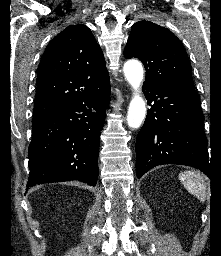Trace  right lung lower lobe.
I'll list each match as a JSON object with an SVG mask.
<instances>
[{
  "mask_svg": "<svg viewBox=\"0 0 221 256\" xmlns=\"http://www.w3.org/2000/svg\"><path fill=\"white\" fill-rule=\"evenodd\" d=\"M110 92L109 85L98 94L33 117L27 188L69 180L97 184L100 132Z\"/></svg>",
  "mask_w": 221,
  "mask_h": 256,
  "instance_id": "98d812e1",
  "label": "right lung lower lobe"
}]
</instances>
